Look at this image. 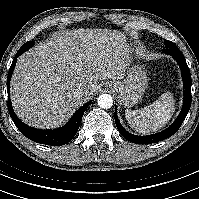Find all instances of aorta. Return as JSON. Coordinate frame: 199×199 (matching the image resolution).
I'll use <instances>...</instances> for the list:
<instances>
[{
  "instance_id": "1",
  "label": "aorta",
  "mask_w": 199,
  "mask_h": 199,
  "mask_svg": "<svg viewBox=\"0 0 199 199\" xmlns=\"http://www.w3.org/2000/svg\"><path fill=\"white\" fill-rule=\"evenodd\" d=\"M98 106L103 109H109L113 105V98L109 94H101L97 99Z\"/></svg>"
}]
</instances>
